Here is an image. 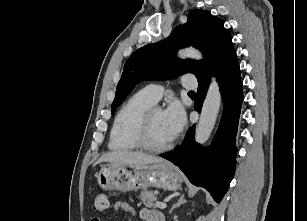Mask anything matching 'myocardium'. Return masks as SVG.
<instances>
[{
	"label": "myocardium",
	"instance_id": "obj_1",
	"mask_svg": "<svg viewBox=\"0 0 307 221\" xmlns=\"http://www.w3.org/2000/svg\"><path fill=\"white\" fill-rule=\"evenodd\" d=\"M158 110L160 109L151 107L143 113V115L141 116L139 120L137 130H136V135H135L138 146L141 149L146 150L148 152H152V153L164 152L170 149L174 143L173 138L169 142L163 145H160V146L153 145L150 142L151 121H152V117L154 113Z\"/></svg>",
	"mask_w": 307,
	"mask_h": 221
}]
</instances>
